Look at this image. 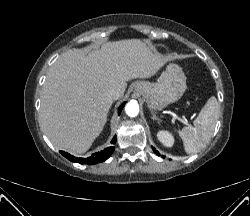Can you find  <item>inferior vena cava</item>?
<instances>
[{"label": "inferior vena cava", "instance_id": "obj_1", "mask_svg": "<svg viewBox=\"0 0 250 216\" xmlns=\"http://www.w3.org/2000/svg\"><path fill=\"white\" fill-rule=\"evenodd\" d=\"M121 93L118 89L111 88L106 92V97L112 101L117 100L120 98Z\"/></svg>", "mask_w": 250, "mask_h": 216}]
</instances>
